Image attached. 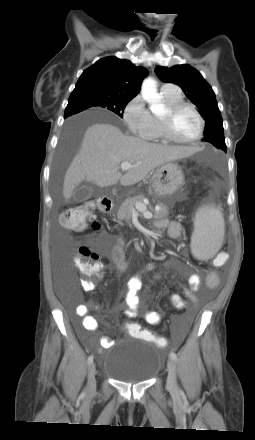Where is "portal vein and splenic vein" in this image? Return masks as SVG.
I'll return each instance as SVG.
<instances>
[{
    "label": "portal vein and splenic vein",
    "mask_w": 255,
    "mask_h": 440,
    "mask_svg": "<svg viewBox=\"0 0 255 440\" xmlns=\"http://www.w3.org/2000/svg\"><path fill=\"white\" fill-rule=\"evenodd\" d=\"M120 167L122 170L127 171L128 169L132 168L133 166L128 162H122L120 164ZM137 212L142 213L143 216L147 219H151L153 216L152 213L147 210L146 205H144L143 203H137L135 205V208L132 210V213H137Z\"/></svg>",
    "instance_id": "18ae733b"
}]
</instances>
